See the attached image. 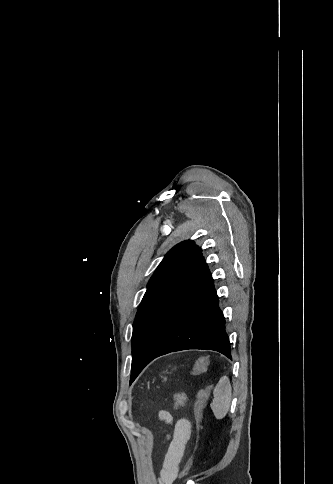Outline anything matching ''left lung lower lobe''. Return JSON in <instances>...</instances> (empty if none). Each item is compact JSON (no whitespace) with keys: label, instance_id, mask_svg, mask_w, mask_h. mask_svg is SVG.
<instances>
[{"label":"left lung lower lobe","instance_id":"0a47b994","mask_svg":"<svg viewBox=\"0 0 333 484\" xmlns=\"http://www.w3.org/2000/svg\"><path fill=\"white\" fill-rule=\"evenodd\" d=\"M186 349L215 350L231 359L225 318L201 252L183 266L149 314L132 352V368Z\"/></svg>","mask_w":333,"mask_h":484}]
</instances>
